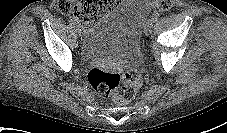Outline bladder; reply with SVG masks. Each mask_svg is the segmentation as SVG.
<instances>
[{"label": "bladder", "instance_id": "31cf9c89", "mask_svg": "<svg viewBox=\"0 0 227 133\" xmlns=\"http://www.w3.org/2000/svg\"><path fill=\"white\" fill-rule=\"evenodd\" d=\"M150 11V0H122L87 30L81 57L85 61L136 63L140 58L142 28Z\"/></svg>", "mask_w": 227, "mask_h": 133}]
</instances>
